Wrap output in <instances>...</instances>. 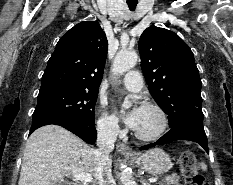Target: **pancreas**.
I'll return each mask as SVG.
<instances>
[{"instance_id": "1", "label": "pancreas", "mask_w": 233, "mask_h": 185, "mask_svg": "<svg viewBox=\"0 0 233 185\" xmlns=\"http://www.w3.org/2000/svg\"><path fill=\"white\" fill-rule=\"evenodd\" d=\"M180 177L177 175L165 176L159 185H179Z\"/></svg>"}]
</instances>
